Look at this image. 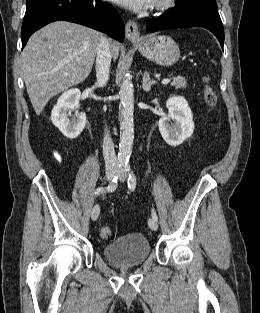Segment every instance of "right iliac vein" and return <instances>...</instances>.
Wrapping results in <instances>:
<instances>
[{
    "label": "right iliac vein",
    "mask_w": 260,
    "mask_h": 313,
    "mask_svg": "<svg viewBox=\"0 0 260 313\" xmlns=\"http://www.w3.org/2000/svg\"><path fill=\"white\" fill-rule=\"evenodd\" d=\"M116 169L115 168H107L106 169V178L108 181L112 180L115 175ZM100 213V207L98 204L94 205L91 211V218L92 220H97Z\"/></svg>",
    "instance_id": "1"
}]
</instances>
